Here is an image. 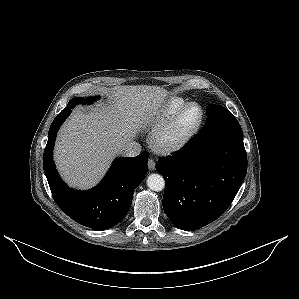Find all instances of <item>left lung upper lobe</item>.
<instances>
[{
  "instance_id": "left-lung-upper-lobe-1",
  "label": "left lung upper lobe",
  "mask_w": 299,
  "mask_h": 299,
  "mask_svg": "<svg viewBox=\"0 0 299 299\" xmlns=\"http://www.w3.org/2000/svg\"><path fill=\"white\" fill-rule=\"evenodd\" d=\"M228 113H231V112L229 110H227L226 108H224L223 106H221V105H215V104L209 105V107H207V122L203 126L201 131L205 130L213 122H215L216 120H218L222 116L227 115Z\"/></svg>"
}]
</instances>
